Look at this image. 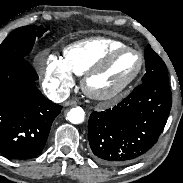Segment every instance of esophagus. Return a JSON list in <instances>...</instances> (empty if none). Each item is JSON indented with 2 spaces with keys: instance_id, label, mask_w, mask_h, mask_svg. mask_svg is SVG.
<instances>
[{
  "instance_id": "1",
  "label": "esophagus",
  "mask_w": 183,
  "mask_h": 183,
  "mask_svg": "<svg viewBox=\"0 0 183 183\" xmlns=\"http://www.w3.org/2000/svg\"><path fill=\"white\" fill-rule=\"evenodd\" d=\"M77 101L76 100H68L64 103V106H76Z\"/></svg>"
}]
</instances>
